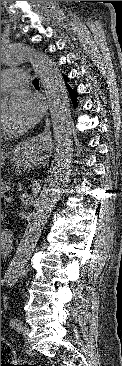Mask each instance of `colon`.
Instances as JSON below:
<instances>
[{
  "instance_id": "1",
  "label": "colon",
  "mask_w": 122,
  "mask_h": 366,
  "mask_svg": "<svg viewBox=\"0 0 122 366\" xmlns=\"http://www.w3.org/2000/svg\"><path fill=\"white\" fill-rule=\"evenodd\" d=\"M1 359L4 362H12L13 361V356H12V352L10 349V346L1 340ZM3 366H14L12 363H5L3 364ZM22 366H36L34 364H24Z\"/></svg>"
}]
</instances>
